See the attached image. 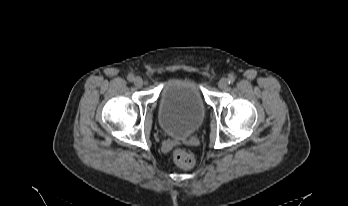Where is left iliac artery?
Listing matches in <instances>:
<instances>
[{"instance_id": "left-iliac-artery-1", "label": "left iliac artery", "mask_w": 348, "mask_h": 206, "mask_svg": "<svg viewBox=\"0 0 348 206\" xmlns=\"http://www.w3.org/2000/svg\"><path fill=\"white\" fill-rule=\"evenodd\" d=\"M235 82V77L233 75H229L228 77V83L233 84Z\"/></svg>"}]
</instances>
